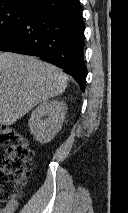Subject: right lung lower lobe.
<instances>
[{
  "label": "right lung lower lobe",
  "instance_id": "1",
  "mask_svg": "<svg viewBox=\"0 0 128 213\" xmlns=\"http://www.w3.org/2000/svg\"><path fill=\"white\" fill-rule=\"evenodd\" d=\"M84 24L79 0H40L0 41V51L38 56L66 70L85 88Z\"/></svg>",
  "mask_w": 128,
  "mask_h": 213
}]
</instances>
